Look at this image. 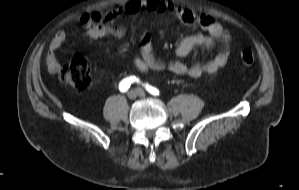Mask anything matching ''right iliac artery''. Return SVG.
<instances>
[{"label": "right iliac artery", "mask_w": 299, "mask_h": 190, "mask_svg": "<svg viewBox=\"0 0 299 190\" xmlns=\"http://www.w3.org/2000/svg\"><path fill=\"white\" fill-rule=\"evenodd\" d=\"M133 82H139V79L136 78L135 76H131L123 79L119 84V90L121 92H126L129 89L131 83Z\"/></svg>", "instance_id": "82829eb1"}]
</instances>
